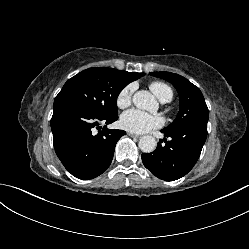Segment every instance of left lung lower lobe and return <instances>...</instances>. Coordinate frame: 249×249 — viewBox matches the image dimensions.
I'll return each instance as SVG.
<instances>
[{
  "label": "left lung lower lobe",
  "mask_w": 249,
  "mask_h": 249,
  "mask_svg": "<svg viewBox=\"0 0 249 249\" xmlns=\"http://www.w3.org/2000/svg\"><path fill=\"white\" fill-rule=\"evenodd\" d=\"M165 145L158 143L151 153H143L144 166L156 177L173 181L186 175L197 162L207 137V124H191L175 131L165 132Z\"/></svg>",
  "instance_id": "0a47b994"
}]
</instances>
